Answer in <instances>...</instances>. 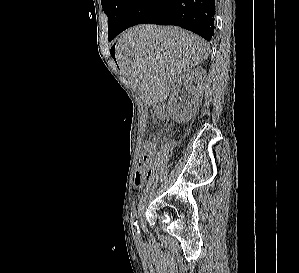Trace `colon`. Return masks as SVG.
Masks as SVG:
<instances>
[{
  "instance_id": "colon-1",
  "label": "colon",
  "mask_w": 299,
  "mask_h": 273,
  "mask_svg": "<svg viewBox=\"0 0 299 273\" xmlns=\"http://www.w3.org/2000/svg\"><path fill=\"white\" fill-rule=\"evenodd\" d=\"M154 141L148 140L144 147V152L142 156V160L140 161L138 165V169L136 172V178L137 180H143L147 179L151 174V167H150V158L154 151Z\"/></svg>"
}]
</instances>
